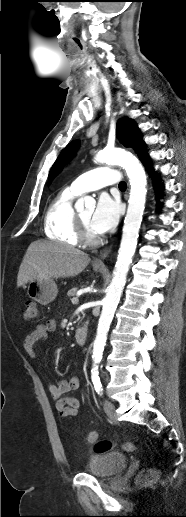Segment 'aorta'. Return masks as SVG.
Returning a JSON list of instances; mask_svg holds the SVG:
<instances>
[{"label": "aorta", "mask_w": 186, "mask_h": 517, "mask_svg": "<svg viewBox=\"0 0 186 517\" xmlns=\"http://www.w3.org/2000/svg\"><path fill=\"white\" fill-rule=\"evenodd\" d=\"M95 162L116 163L122 166L129 178L131 189L118 258L112 281L103 299L102 312L94 341L92 355L94 369L97 368V364H99L102 359L110 324L126 283L127 272L137 246L147 193V179L144 168L139 160L130 152L123 149L106 148L96 154ZM91 200L90 197L81 198L78 200V205L83 206L84 203Z\"/></svg>", "instance_id": "762f6f07"}]
</instances>
